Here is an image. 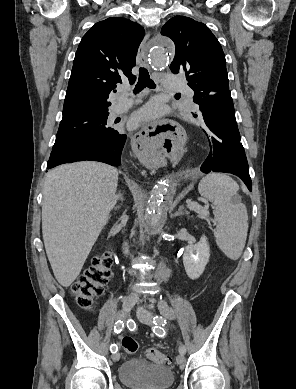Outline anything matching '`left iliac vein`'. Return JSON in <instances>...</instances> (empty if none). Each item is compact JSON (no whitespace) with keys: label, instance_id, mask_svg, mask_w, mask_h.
Here are the masks:
<instances>
[{"label":"left iliac vein","instance_id":"left-iliac-vein-1","mask_svg":"<svg viewBox=\"0 0 296 389\" xmlns=\"http://www.w3.org/2000/svg\"><path fill=\"white\" fill-rule=\"evenodd\" d=\"M137 317L138 319L147 325L152 324V314L148 310L144 309L143 307L139 306L137 310ZM185 361L184 354L180 353L176 357V363L178 365H182Z\"/></svg>","mask_w":296,"mask_h":389}]
</instances>
